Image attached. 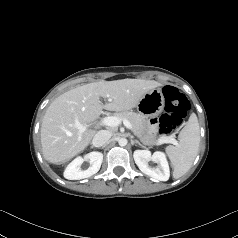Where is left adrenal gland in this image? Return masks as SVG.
Returning <instances> with one entry per match:
<instances>
[{"label": "left adrenal gland", "mask_w": 238, "mask_h": 238, "mask_svg": "<svg viewBox=\"0 0 238 238\" xmlns=\"http://www.w3.org/2000/svg\"><path fill=\"white\" fill-rule=\"evenodd\" d=\"M132 143L133 144L136 143V144L140 145L141 147H144L138 140H133Z\"/></svg>", "instance_id": "a2214340"}]
</instances>
